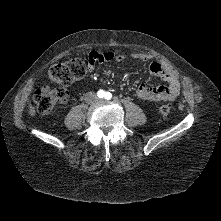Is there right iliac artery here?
I'll return each mask as SVG.
<instances>
[{"instance_id":"obj_1","label":"right iliac artery","mask_w":221,"mask_h":221,"mask_svg":"<svg viewBox=\"0 0 221 221\" xmlns=\"http://www.w3.org/2000/svg\"><path fill=\"white\" fill-rule=\"evenodd\" d=\"M97 95L99 98H103L105 96V92L103 90H99Z\"/></svg>"}]
</instances>
